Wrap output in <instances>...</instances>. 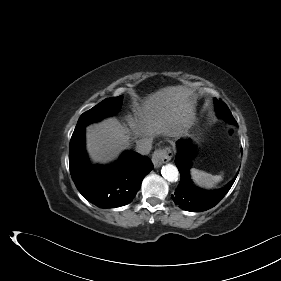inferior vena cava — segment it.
I'll use <instances>...</instances> for the list:
<instances>
[{
	"instance_id": "obj_1",
	"label": "inferior vena cava",
	"mask_w": 281,
	"mask_h": 281,
	"mask_svg": "<svg viewBox=\"0 0 281 281\" xmlns=\"http://www.w3.org/2000/svg\"><path fill=\"white\" fill-rule=\"evenodd\" d=\"M136 151L142 155H147L152 149V138L140 139L136 142Z\"/></svg>"
}]
</instances>
